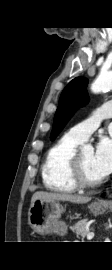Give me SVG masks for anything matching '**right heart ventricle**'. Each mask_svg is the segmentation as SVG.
Segmentation results:
<instances>
[{"label":"right heart ventricle","instance_id":"e07e8e85","mask_svg":"<svg viewBox=\"0 0 112 270\" xmlns=\"http://www.w3.org/2000/svg\"><path fill=\"white\" fill-rule=\"evenodd\" d=\"M80 144L67 133L48 150L41 171L43 184L48 190L61 194L76 191L68 176L67 165Z\"/></svg>","mask_w":112,"mask_h":270}]
</instances>
